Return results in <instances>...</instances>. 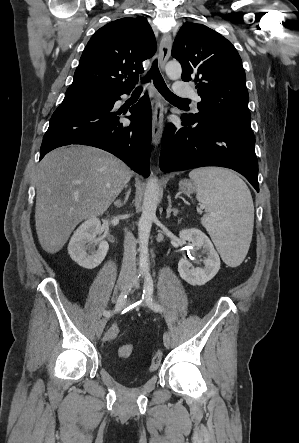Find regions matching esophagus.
I'll list each match as a JSON object with an SVG mask.
<instances>
[{
    "instance_id": "obj_1",
    "label": "esophagus",
    "mask_w": 299,
    "mask_h": 443,
    "mask_svg": "<svg viewBox=\"0 0 299 443\" xmlns=\"http://www.w3.org/2000/svg\"><path fill=\"white\" fill-rule=\"evenodd\" d=\"M171 48L172 38L170 34H167L165 38L161 40L159 45V63L162 68L170 57ZM164 113L165 108L162 101L156 99L152 118V143L154 146H158L161 141L164 126Z\"/></svg>"
}]
</instances>
